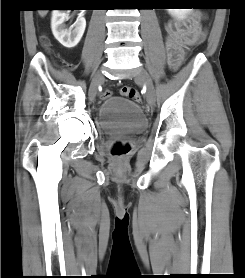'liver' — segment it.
Wrapping results in <instances>:
<instances>
[{
	"label": "liver",
	"instance_id": "obj_1",
	"mask_svg": "<svg viewBox=\"0 0 245 278\" xmlns=\"http://www.w3.org/2000/svg\"><path fill=\"white\" fill-rule=\"evenodd\" d=\"M47 12H48V10H39V11H38V13H39V15H40L41 17L46 16Z\"/></svg>",
	"mask_w": 245,
	"mask_h": 278
}]
</instances>
